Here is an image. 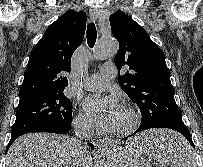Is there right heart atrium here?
<instances>
[{"instance_id":"obj_1","label":"right heart atrium","mask_w":203,"mask_h":167,"mask_svg":"<svg viewBox=\"0 0 203 167\" xmlns=\"http://www.w3.org/2000/svg\"><path fill=\"white\" fill-rule=\"evenodd\" d=\"M74 124L76 128L87 131L91 128V121L90 119L83 113H78L75 117Z\"/></svg>"}]
</instances>
